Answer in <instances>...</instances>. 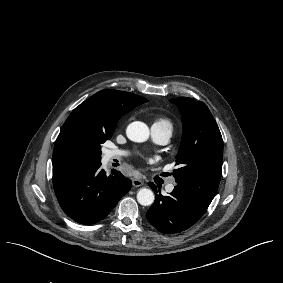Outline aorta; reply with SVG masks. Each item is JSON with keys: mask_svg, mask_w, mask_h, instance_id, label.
Returning a JSON list of instances; mask_svg holds the SVG:
<instances>
[{"mask_svg": "<svg viewBox=\"0 0 283 283\" xmlns=\"http://www.w3.org/2000/svg\"><path fill=\"white\" fill-rule=\"evenodd\" d=\"M149 134L148 126L140 121L130 123L126 129L127 137L133 142H144L149 138ZM154 200V193L148 188H142L137 193V201L142 206H150Z\"/></svg>", "mask_w": 283, "mask_h": 283, "instance_id": "aorta-1", "label": "aorta"}]
</instances>
